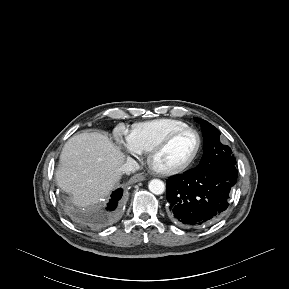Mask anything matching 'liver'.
Segmentation results:
<instances>
[{"mask_svg": "<svg viewBox=\"0 0 289 289\" xmlns=\"http://www.w3.org/2000/svg\"><path fill=\"white\" fill-rule=\"evenodd\" d=\"M124 160L125 155L107 135L76 134L62 149L56 181L76 205H94L119 182Z\"/></svg>", "mask_w": 289, "mask_h": 289, "instance_id": "6515ba94", "label": "liver"}]
</instances>
